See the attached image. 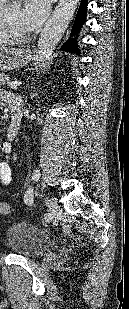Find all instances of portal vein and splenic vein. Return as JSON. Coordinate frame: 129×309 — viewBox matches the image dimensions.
Segmentation results:
<instances>
[{"label": "portal vein and splenic vein", "mask_w": 129, "mask_h": 309, "mask_svg": "<svg viewBox=\"0 0 129 309\" xmlns=\"http://www.w3.org/2000/svg\"><path fill=\"white\" fill-rule=\"evenodd\" d=\"M8 85H9L10 87H14V86H15V84H14L13 82L8 83Z\"/></svg>", "instance_id": "1"}]
</instances>
